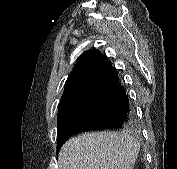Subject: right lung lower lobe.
I'll return each instance as SVG.
<instances>
[{
    "label": "right lung lower lobe",
    "instance_id": "1",
    "mask_svg": "<svg viewBox=\"0 0 177 169\" xmlns=\"http://www.w3.org/2000/svg\"><path fill=\"white\" fill-rule=\"evenodd\" d=\"M86 88L89 90L88 103L76 116L58 124L57 152L66 140L78 132L112 130L133 117L129 97L110 63L87 81Z\"/></svg>",
    "mask_w": 177,
    "mask_h": 169
}]
</instances>
